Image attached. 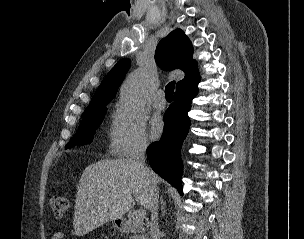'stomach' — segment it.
<instances>
[{"label": "stomach", "mask_w": 304, "mask_h": 239, "mask_svg": "<svg viewBox=\"0 0 304 239\" xmlns=\"http://www.w3.org/2000/svg\"><path fill=\"white\" fill-rule=\"evenodd\" d=\"M114 224H115V226H117V224H116V220H114Z\"/></svg>", "instance_id": "stomach-1"}]
</instances>
